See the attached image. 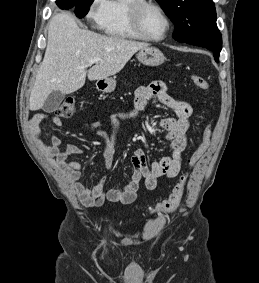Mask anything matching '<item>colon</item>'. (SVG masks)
Masks as SVG:
<instances>
[{"instance_id": "1", "label": "colon", "mask_w": 259, "mask_h": 283, "mask_svg": "<svg viewBox=\"0 0 259 283\" xmlns=\"http://www.w3.org/2000/svg\"><path fill=\"white\" fill-rule=\"evenodd\" d=\"M191 79L196 87L206 91L210 89V85L207 82V80L201 77L200 75H196V74L192 75ZM75 111H76L75 99L72 97H68L60 103L55 113L57 116L63 118H69L75 114ZM210 136H211L210 128L205 129L198 146L191 155V158L189 160L190 166H193L206 151L210 142ZM186 181H187V175H183L180 178L178 184L173 188L170 196L166 200L162 201L161 203H158L155 207H153L152 211L156 213H167L174 211L179 205L184 195Z\"/></svg>"}]
</instances>
